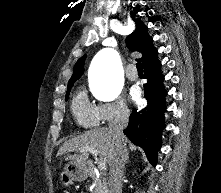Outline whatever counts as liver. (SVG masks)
I'll return each instance as SVG.
<instances>
[{
	"instance_id": "1",
	"label": "liver",
	"mask_w": 221,
	"mask_h": 193,
	"mask_svg": "<svg viewBox=\"0 0 221 193\" xmlns=\"http://www.w3.org/2000/svg\"><path fill=\"white\" fill-rule=\"evenodd\" d=\"M126 144V138L124 137ZM81 148H94L98 151L101 161L110 164L115 153L114 133L110 128H100L87 131L84 134L74 137L59 148L57 156L65 155V160L70 163L85 165L89 157L88 151H80ZM71 152L77 154L71 155Z\"/></svg>"
}]
</instances>
